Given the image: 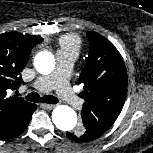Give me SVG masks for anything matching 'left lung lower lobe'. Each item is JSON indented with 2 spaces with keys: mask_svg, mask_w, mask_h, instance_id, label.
Here are the masks:
<instances>
[{
  "mask_svg": "<svg viewBox=\"0 0 153 153\" xmlns=\"http://www.w3.org/2000/svg\"><path fill=\"white\" fill-rule=\"evenodd\" d=\"M66 136L72 141H79V142H88L90 140L96 139L94 136H89L85 133L82 134H75V133H66Z\"/></svg>",
  "mask_w": 153,
  "mask_h": 153,
  "instance_id": "left-lung-lower-lobe-1",
  "label": "left lung lower lobe"
}]
</instances>
